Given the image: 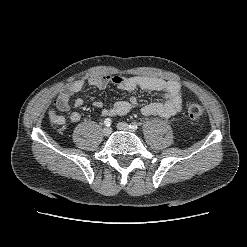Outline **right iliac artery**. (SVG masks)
Here are the masks:
<instances>
[{
	"label": "right iliac artery",
	"mask_w": 247,
	"mask_h": 247,
	"mask_svg": "<svg viewBox=\"0 0 247 247\" xmlns=\"http://www.w3.org/2000/svg\"><path fill=\"white\" fill-rule=\"evenodd\" d=\"M104 124H105L107 127H109V126L112 124V120H111L110 118H106V119L104 120Z\"/></svg>",
	"instance_id": "obj_1"
}]
</instances>
